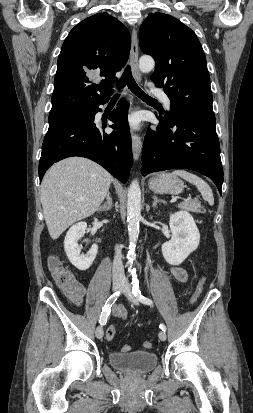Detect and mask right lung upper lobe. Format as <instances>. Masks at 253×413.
<instances>
[{
	"label": "right lung upper lobe",
	"mask_w": 253,
	"mask_h": 413,
	"mask_svg": "<svg viewBox=\"0 0 253 413\" xmlns=\"http://www.w3.org/2000/svg\"><path fill=\"white\" fill-rule=\"evenodd\" d=\"M131 39L127 28L107 13L77 24L58 57L49 117L86 110L109 98L115 76L125 65ZM103 77L101 82L97 79Z\"/></svg>",
	"instance_id": "right-lung-upper-lobe-1"
}]
</instances>
